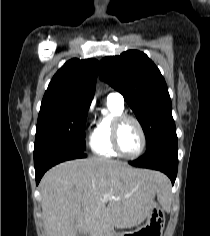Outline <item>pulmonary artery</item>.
Here are the masks:
<instances>
[{
	"mask_svg": "<svg viewBox=\"0 0 210 236\" xmlns=\"http://www.w3.org/2000/svg\"><path fill=\"white\" fill-rule=\"evenodd\" d=\"M107 100L111 101L119 106L124 105V98L119 92H111L107 96Z\"/></svg>",
	"mask_w": 210,
	"mask_h": 236,
	"instance_id": "e3ab8cb5",
	"label": "pulmonary artery"
}]
</instances>
